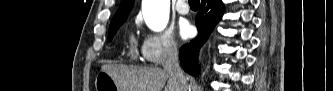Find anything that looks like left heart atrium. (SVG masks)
Masks as SVG:
<instances>
[{"label":"left heart atrium","instance_id":"39dd6f15","mask_svg":"<svg viewBox=\"0 0 333 91\" xmlns=\"http://www.w3.org/2000/svg\"><path fill=\"white\" fill-rule=\"evenodd\" d=\"M180 35L182 38L186 39L193 35V27L188 21H184L179 27Z\"/></svg>","mask_w":333,"mask_h":91}]
</instances>
